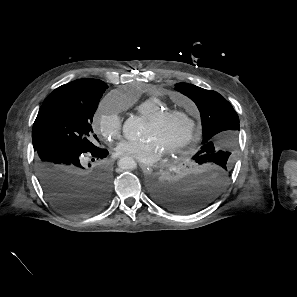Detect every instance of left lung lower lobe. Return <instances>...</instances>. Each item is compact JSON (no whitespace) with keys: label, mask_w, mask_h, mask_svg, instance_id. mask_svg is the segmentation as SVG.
Instances as JSON below:
<instances>
[{"label":"left lung lower lobe","mask_w":297,"mask_h":297,"mask_svg":"<svg viewBox=\"0 0 297 297\" xmlns=\"http://www.w3.org/2000/svg\"><path fill=\"white\" fill-rule=\"evenodd\" d=\"M231 168L218 159L193 156L174 180L152 183L154 198L178 213L202 210L222 193L231 176Z\"/></svg>","instance_id":"obj_1"}]
</instances>
